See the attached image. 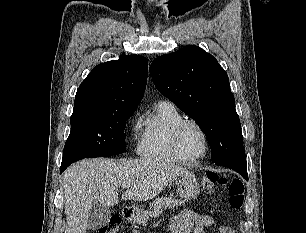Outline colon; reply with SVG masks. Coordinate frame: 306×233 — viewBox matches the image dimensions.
<instances>
[{
    "instance_id": "colon-1",
    "label": "colon",
    "mask_w": 306,
    "mask_h": 233,
    "mask_svg": "<svg viewBox=\"0 0 306 233\" xmlns=\"http://www.w3.org/2000/svg\"><path fill=\"white\" fill-rule=\"evenodd\" d=\"M217 173L207 172L202 178V186L210 191L217 183H224ZM229 204L233 209L240 210L244 204V183L235 179L229 184ZM120 218L116 215L110 216L108 221L96 233H119Z\"/></svg>"
}]
</instances>
